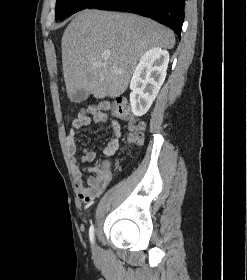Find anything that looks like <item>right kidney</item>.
Segmentation results:
<instances>
[{
  "instance_id": "obj_1",
  "label": "right kidney",
  "mask_w": 247,
  "mask_h": 280,
  "mask_svg": "<svg viewBox=\"0 0 247 280\" xmlns=\"http://www.w3.org/2000/svg\"><path fill=\"white\" fill-rule=\"evenodd\" d=\"M168 63L169 53L158 47L147 50L140 58L130 82V104L135 116L149 110L165 80Z\"/></svg>"
}]
</instances>
